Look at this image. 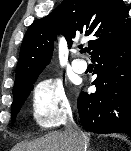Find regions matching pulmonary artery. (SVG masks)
<instances>
[{"label": "pulmonary artery", "instance_id": "1", "mask_svg": "<svg viewBox=\"0 0 131 151\" xmlns=\"http://www.w3.org/2000/svg\"><path fill=\"white\" fill-rule=\"evenodd\" d=\"M72 68L77 73H84L87 69V63L81 59H75L72 62Z\"/></svg>", "mask_w": 131, "mask_h": 151}]
</instances>
